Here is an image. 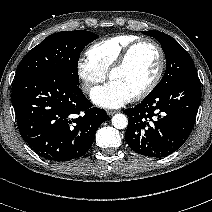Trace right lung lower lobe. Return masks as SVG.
Masks as SVG:
<instances>
[{"mask_svg": "<svg viewBox=\"0 0 212 212\" xmlns=\"http://www.w3.org/2000/svg\"><path fill=\"white\" fill-rule=\"evenodd\" d=\"M12 100L21 136L38 155L51 161L83 156L107 119L103 109L92 107L78 84L56 74L16 78Z\"/></svg>", "mask_w": 212, "mask_h": 212, "instance_id": "right-lung-lower-lobe-1", "label": "right lung lower lobe"}]
</instances>
